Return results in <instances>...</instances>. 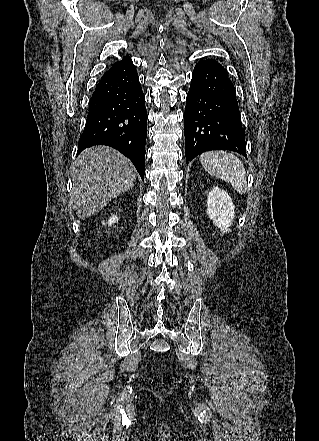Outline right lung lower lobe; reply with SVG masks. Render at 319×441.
Returning <instances> with one entry per match:
<instances>
[{
	"label": "right lung lower lobe",
	"mask_w": 319,
	"mask_h": 441,
	"mask_svg": "<svg viewBox=\"0 0 319 441\" xmlns=\"http://www.w3.org/2000/svg\"><path fill=\"white\" fill-rule=\"evenodd\" d=\"M147 118L145 96L130 59L101 77L89 101L77 154L94 145L111 146L132 161L143 179Z\"/></svg>",
	"instance_id": "obj_1"
}]
</instances>
